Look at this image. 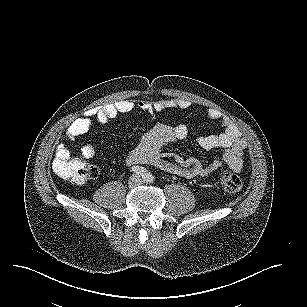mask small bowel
<instances>
[{
  "label": "small bowel",
  "instance_id": "c3829d8e",
  "mask_svg": "<svg viewBox=\"0 0 307 307\" xmlns=\"http://www.w3.org/2000/svg\"><path fill=\"white\" fill-rule=\"evenodd\" d=\"M188 100L180 98H167L156 101H141L137 105L130 100H123L113 104L97 107L86 111L81 117L72 122L66 130L64 139L73 141L77 137L89 131L94 121L107 123L119 114L131 112L138 108L141 112L155 114L167 109H185L190 107ZM206 116L210 120L220 121L222 132L218 135L201 136L197 139L198 145L204 150L221 148L224 150L221 159H215L209 163H203L198 159H184L180 156L164 153L162 148L169 143L184 140L188 130L184 125L171 127L165 124L155 125L146 133L127 158L128 165L150 164L166 172L186 178L206 177L225 163L234 171L243 168L246 141L234 122L216 109H208ZM96 149L87 144L82 148L85 158L95 156ZM55 161L68 159L71 153L64 143L56 148Z\"/></svg>",
  "mask_w": 307,
  "mask_h": 307
}]
</instances>
